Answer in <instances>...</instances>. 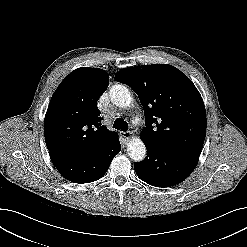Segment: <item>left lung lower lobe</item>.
Listing matches in <instances>:
<instances>
[{"label":"left lung lower lobe","instance_id":"0a47b994","mask_svg":"<svg viewBox=\"0 0 247 247\" xmlns=\"http://www.w3.org/2000/svg\"><path fill=\"white\" fill-rule=\"evenodd\" d=\"M147 156L134 164L137 176L155 187H170L185 180L196 167L197 156L163 150L145 143Z\"/></svg>","mask_w":247,"mask_h":247}]
</instances>
